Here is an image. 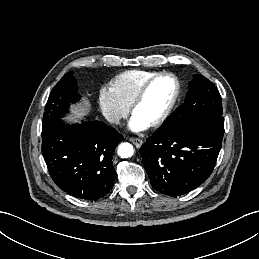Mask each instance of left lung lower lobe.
Returning a JSON list of instances; mask_svg holds the SVG:
<instances>
[{"label":"left lung lower lobe","mask_w":259,"mask_h":259,"mask_svg":"<svg viewBox=\"0 0 259 259\" xmlns=\"http://www.w3.org/2000/svg\"><path fill=\"white\" fill-rule=\"evenodd\" d=\"M223 135V116L209 114L168 133L156 131L140 148L152 187L170 196L197 188L214 169Z\"/></svg>","instance_id":"obj_1"}]
</instances>
